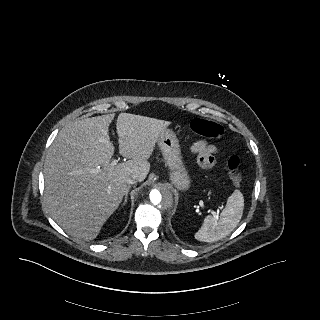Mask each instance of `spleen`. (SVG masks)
I'll list each match as a JSON object with an SVG mask.
<instances>
[{"instance_id": "obj_1", "label": "spleen", "mask_w": 320, "mask_h": 320, "mask_svg": "<svg viewBox=\"0 0 320 320\" xmlns=\"http://www.w3.org/2000/svg\"><path fill=\"white\" fill-rule=\"evenodd\" d=\"M244 209V197L240 190H235L227 199V204L220 216L208 215L201 228L195 233L199 241L214 242L229 235L239 224Z\"/></svg>"}]
</instances>
